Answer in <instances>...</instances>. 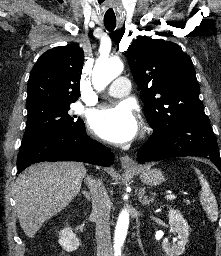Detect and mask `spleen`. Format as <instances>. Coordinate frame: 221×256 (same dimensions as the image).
Returning a JSON list of instances; mask_svg holds the SVG:
<instances>
[{
    "mask_svg": "<svg viewBox=\"0 0 221 256\" xmlns=\"http://www.w3.org/2000/svg\"><path fill=\"white\" fill-rule=\"evenodd\" d=\"M195 171L198 175L201 184V191H200V203L204 210L207 213L208 218L215 222L218 219V207L217 202L214 194L211 192L209 183L205 179L204 175L195 168Z\"/></svg>",
    "mask_w": 221,
    "mask_h": 256,
    "instance_id": "obj_1",
    "label": "spleen"
}]
</instances>
